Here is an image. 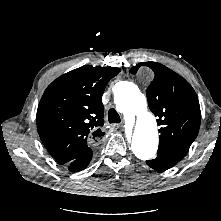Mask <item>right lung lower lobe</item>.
I'll use <instances>...</instances> for the list:
<instances>
[{"instance_id":"obj_1","label":"right lung lower lobe","mask_w":221,"mask_h":221,"mask_svg":"<svg viewBox=\"0 0 221 221\" xmlns=\"http://www.w3.org/2000/svg\"><path fill=\"white\" fill-rule=\"evenodd\" d=\"M92 159V149H89L82 153L72 162L68 163V169L73 172L81 171L86 168Z\"/></svg>"}]
</instances>
